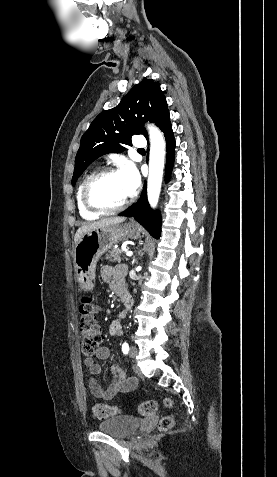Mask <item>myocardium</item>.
<instances>
[{"instance_id": "f54148a6", "label": "myocardium", "mask_w": 277, "mask_h": 477, "mask_svg": "<svg viewBox=\"0 0 277 477\" xmlns=\"http://www.w3.org/2000/svg\"><path fill=\"white\" fill-rule=\"evenodd\" d=\"M119 171L115 168H106L100 171H97L95 174H93L88 181L85 183L83 190H82V203L84 207L97 214H112L119 212L123 209H125L129 203L130 200L127 198L124 200L121 204L113 207H108V206H103L97 202H95L92 198V190L94 186L103 178L118 173Z\"/></svg>"}]
</instances>
